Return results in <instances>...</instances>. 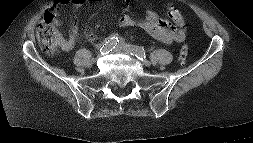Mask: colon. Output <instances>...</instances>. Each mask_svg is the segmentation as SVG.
Segmentation results:
<instances>
[{
	"instance_id": "1",
	"label": "colon",
	"mask_w": 253,
	"mask_h": 143,
	"mask_svg": "<svg viewBox=\"0 0 253 143\" xmlns=\"http://www.w3.org/2000/svg\"><path fill=\"white\" fill-rule=\"evenodd\" d=\"M37 37L41 49L46 53L56 51L62 45V36L53 22V14L45 13L42 23L37 30ZM189 54L188 45H183L180 49L179 60L185 63Z\"/></svg>"
}]
</instances>
